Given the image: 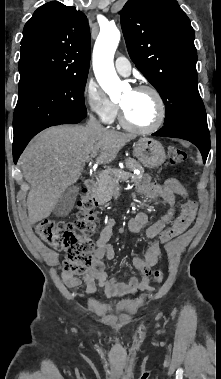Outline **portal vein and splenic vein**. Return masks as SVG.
Masks as SVG:
<instances>
[{
  "instance_id": "portal-vein-and-splenic-vein-1",
  "label": "portal vein and splenic vein",
  "mask_w": 221,
  "mask_h": 379,
  "mask_svg": "<svg viewBox=\"0 0 221 379\" xmlns=\"http://www.w3.org/2000/svg\"><path fill=\"white\" fill-rule=\"evenodd\" d=\"M86 161H90V157H87V158H86Z\"/></svg>"
}]
</instances>
